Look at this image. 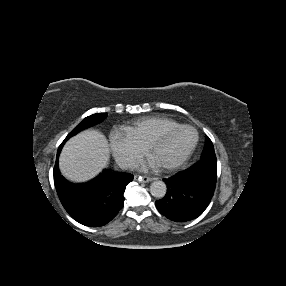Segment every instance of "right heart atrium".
<instances>
[{"label":"right heart atrium","mask_w":286,"mask_h":286,"mask_svg":"<svg viewBox=\"0 0 286 286\" xmlns=\"http://www.w3.org/2000/svg\"><path fill=\"white\" fill-rule=\"evenodd\" d=\"M109 144L116 161L124 167L132 166L145 149L126 130H112Z\"/></svg>","instance_id":"d8ad5b80"}]
</instances>
